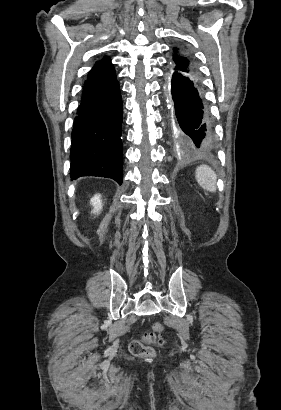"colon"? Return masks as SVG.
Wrapping results in <instances>:
<instances>
[{
  "instance_id": "1",
  "label": "colon",
  "mask_w": 281,
  "mask_h": 410,
  "mask_svg": "<svg viewBox=\"0 0 281 410\" xmlns=\"http://www.w3.org/2000/svg\"><path fill=\"white\" fill-rule=\"evenodd\" d=\"M164 325L160 322H154L151 329L145 328L142 332L141 339H133L129 343L131 354L138 357H150L153 355V349L150 344H163Z\"/></svg>"
}]
</instances>
